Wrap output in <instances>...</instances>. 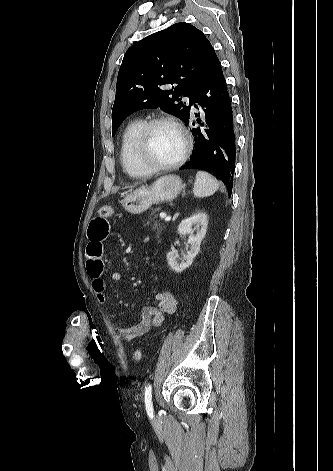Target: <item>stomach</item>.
<instances>
[{
	"label": "stomach",
	"mask_w": 333,
	"mask_h": 471,
	"mask_svg": "<svg viewBox=\"0 0 333 471\" xmlns=\"http://www.w3.org/2000/svg\"><path fill=\"white\" fill-rule=\"evenodd\" d=\"M184 185L177 175H165L151 186H143L125 195L121 200L122 207L129 213L141 214L153 204L174 200Z\"/></svg>",
	"instance_id": "obj_1"
}]
</instances>
